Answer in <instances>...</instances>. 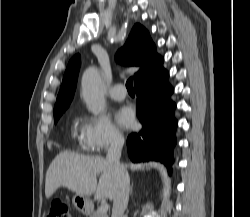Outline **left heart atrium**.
<instances>
[{
	"instance_id": "39dd6f15",
	"label": "left heart atrium",
	"mask_w": 250,
	"mask_h": 217,
	"mask_svg": "<svg viewBox=\"0 0 250 217\" xmlns=\"http://www.w3.org/2000/svg\"><path fill=\"white\" fill-rule=\"evenodd\" d=\"M117 121L123 127H131L134 124V114L129 108H121L116 114Z\"/></svg>"
}]
</instances>
